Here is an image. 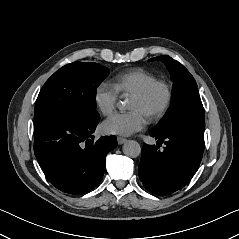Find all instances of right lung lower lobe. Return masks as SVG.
<instances>
[{
  "label": "right lung lower lobe",
  "mask_w": 239,
  "mask_h": 239,
  "mask_svg": "<svg viewBox=\"0 0 239 239\" xmlns=\"http://www.w3.org/2000/svg\"><path fill=\"white\" fill-rule=\"evenodd\" d=\"M99 120L61 115L35 127V156L57 189L81 195L102 178L106 154L116 148L117 142L114 135L94 140L91 134Z\"/></svg>",
  "instance_id": "98d812e1"
}]
</instances>
